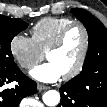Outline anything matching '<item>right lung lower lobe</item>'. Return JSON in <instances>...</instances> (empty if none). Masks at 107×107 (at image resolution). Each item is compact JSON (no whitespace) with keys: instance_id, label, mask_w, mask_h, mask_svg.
Returning a JSON list of instances; mask_svg holds the SVG:
<instances>
[{"instance_id":"right-lung-lower-lobe-1","label":"right lung lower lobe","mask_w":107,"mask_h":107,"mask_svg":"<svg viewBox=\"0 0 107 107\" xmlns=\"http://www.w3.org/2000/svg\"><path fill=\"white\" fill-rule=\"evenodd\" d=\"M18 82L14 88L4 89L3 85ZM36 83L18 68L0 72V107H18L22 98L36 92Z\"/></svg>"}]
</instances>
